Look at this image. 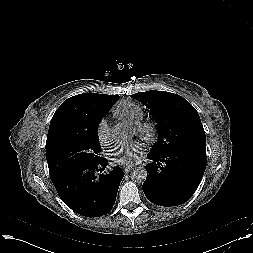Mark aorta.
Returning a JSON list of instances; mask_svg holds the SVG:
<instances>
[{
    "mask_svg": "<svg viewBox=\"0 0 253 253\" xmlns=\"http://www.w3.org/2000/svg\"><path fill=\"white\" fill-rule=\"evenodd\" d=\"M113 136L118 141H125L131 138V130L130 127L126 124H117L113 127L112 130ZM147 177V171L145 169L137 168L132 171L131 179L134 182L142 183L145 181Z\"/></svg>",
    "mask_w": 253,
    "mask_h": 253,
    "instance_id": "1",
    "label": "aorta"
}]
</instances>
